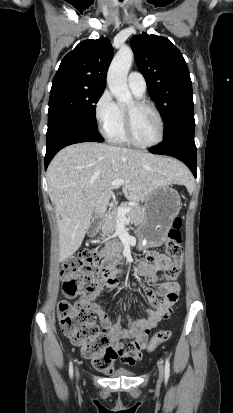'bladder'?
<instances>
[{
	"label": "bladder",
	"mask_w": 233,
	"mask_h": 413,
	"mask_svg": "<svg viewBox=\"0 0 233 413\" xmlns=\"http://www.w3.org/2000/svg\"><path fill=\"white\" fill-rule=\"evenodd\" d=\"M135 375L134 372L128 370H118L114 372L111 377L113 378H120V377H133Z\"/></svg>",
	"instance_id": "bladder-1"
}]
</instances>
